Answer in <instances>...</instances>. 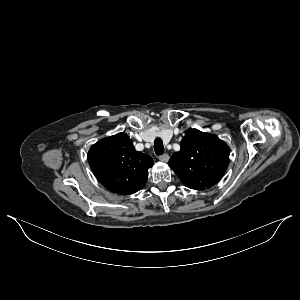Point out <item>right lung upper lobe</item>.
<instances>
[{"mask_svg":"<svg viewBox=\"0 0 300 300\" xmlns=\"http://www.w3.org/2000/svg\"><path fill=\"white\" fill-rule=\"evenodd\" d=\"M90 167L109 191L130 195L142 189L148 178L153 159L137 152L124 133L98 141L88 153Z\"/></svg>","mask_w":300,"mask_h":300,"instance_id":"cb5924a9","label":"right lung upper lobe"}]
</instances>
